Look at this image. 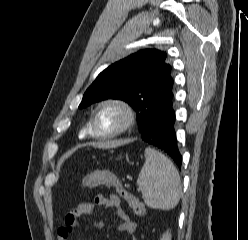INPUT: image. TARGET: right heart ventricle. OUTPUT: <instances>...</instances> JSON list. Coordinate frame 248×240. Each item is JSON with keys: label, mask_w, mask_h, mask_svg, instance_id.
<instances>
[{"label": "right heart ventricle", "mask_w": 248, "mask_h": 240, "mask_svg": "<svg viewBox=\"0 0 248 240\" xmlns=\"http://www.w3.org/2000/svg\"><path fill=\"white\" fill-rule=\"evenodd\" d=\"M89 134V123L85 125V127L80 132V137H85Z\"/></svg>", "instance_id": "e07e8e85"}]
</instances>
